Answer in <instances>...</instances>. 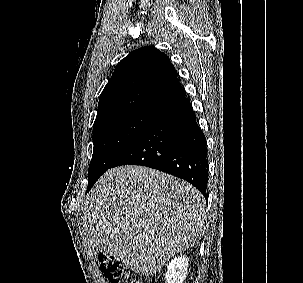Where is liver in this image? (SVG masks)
Listing matches in <instances>:
<instances>
[{"mask_svg": "<svg viewBox=\"0 0 303 283\" xmlns=\"http://www.w3.org/2000/svg\"><path fill=\"white\" fill-rule=\"evenodd\" d=\"M206 201L189 183L143 166L105 172L87 196L80 225L89 253L105 251L151 275L201 239Z\"/></svg>", "mask_w": 303, "mask_h": 283, "instance_id": "1", "label": "liver"}]
</instances>
